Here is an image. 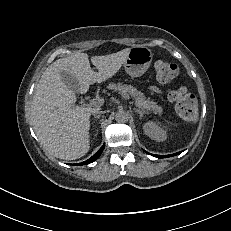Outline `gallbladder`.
<instances>
[{
    "label": "gallbladder",
    "mask_w": 231,
    "mask_h": 231,
    "mask_svg": "<svg viewBox=\"0 0 231 231\" xmlns=\"http://www.w3.org/2000/svg\"><path fill=\"white\" fill-rule=\"evenodd\" d=\"M60 78L73 93L78 94L81 92L82 87L79 84V81L68 70H63L60 73Z\"/></svg>",
    "instance_id": "gallbladder-1"
}]
</instances>
